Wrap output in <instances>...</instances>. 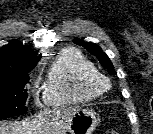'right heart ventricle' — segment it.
Masks as SVG:
<instances>
[{
  "instance_id": "obj_1",
  "label": "right heart ventricle",
  "mask_w": 153,
  "mask_h": 134,
  "mask_svg": "<svg viewBox=\"0 0 153 134\" xmlns=\"http://www.w3.org/2000/svg\"><path fill=\"white\" fill-rule=\"evenodd\" d=\"M98 72L92 61L73 48L62 51L52 64L44 86V98L50 106L80 104L97 98L100 93L91 84Z\"/></svg>"
}]
</instances>
